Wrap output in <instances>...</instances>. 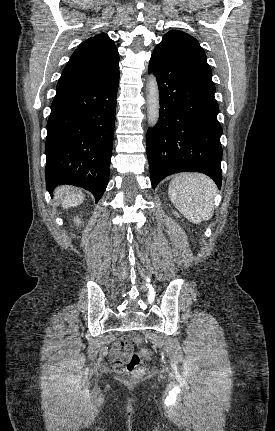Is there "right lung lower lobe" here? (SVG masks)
<instances>
[{
	"mask_svg": "<svg viewBox=\"0 0 275 431\" xmlns=\"http://www.w3.org/2000/svg\"><path fill=\"white\" fill-rule=\"evenodd\" d=\"M119 71L105 81L57 91L46 137V186L83 187L103 195L109 179Z\"/></svg>",
	"mask_w": 275,
	"mask_h": 431,
	"instance_id": "1",
	"label": "right lung lower lobe"
}]
</instances>
